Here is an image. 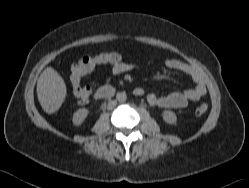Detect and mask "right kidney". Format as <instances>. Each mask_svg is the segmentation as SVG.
<instances>
[{"label": "right kidney", "mask_w": 249, "mask_h": 188, "mask_svg": "<svg viewBox=\"0 0 249 188\" xmlns=\"http://www.w3.org/2000/svg\"><path fill=\"white\" fill-rule=\"evenodd\" d=\"M88 113H89V111H88V109H86V108L78 109V110L73 114V118H72L73 124H74L75 126L81 125V124L84 122V120L86 119Z\"/></svg>", "instance_id": "right-kidney-1"}]
</instances>
